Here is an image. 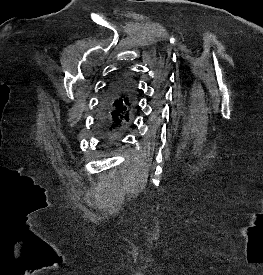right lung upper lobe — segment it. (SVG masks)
Wrapping results in <instances>:
<instances>
[{
	"mask_svg": "<svg viewBox=\"0 0 263 275\" xmlns=\"http://www.w3.org/2000/svg\"><path fill=\"white\" fill-rule=\"evenodd\" d=\"M120 78L121 77H117L113 79L111 83L118 81ZM122 86L124 92L121 98V102L119 104V110L122 118L124 119L125 117L132 116V113L136 107V96L134 84L132 83V81L125 79L122 81Z\"/></svg>",
	"mask_w": 263,
	"mask_h": 275,
	"instance_id": "obj_1",
	"label": "right lung upper lobe"
}]
</instances>
